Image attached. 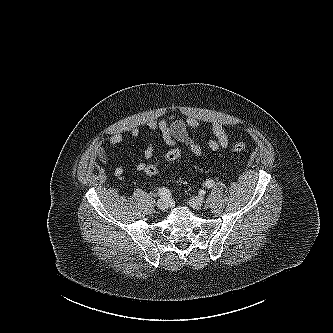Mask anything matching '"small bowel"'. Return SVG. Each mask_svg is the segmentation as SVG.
Listing matches in <instances>:
<instances>
[{
  "label": "small bowel",
  "mask_w": 333,
  "mask_h": 333,
  "mask_svg": "<svg viewBox=\"0 0 333 333\" xmlns=\"http://www.w3.org/2000/svg\"><path fill=\"white\" fill-rule=\"evenodd\" d=\"M148 129L150 135L152 136L155 134H160L165 145L170 149L174 148L177 144H183L190 149L195 157L201 158L203 156V149L201 145L189 134V129L195 131L202 130L200 123L194 117H186L184 119H175L172 121L167 119L150 121L148 123ZM212 133L214 137L208 138L206 141V144L211 151L217 152L221 149L227 148L230 145V138L221 123H213ZM130 134L133 138H136L139 135V130L137 128H133ZM122 141L123 134L121 132L114 133L109 139L110 145L112 146H117L121 144ZM154 151L155 148L153 143L149 142L143 150L144 158H152ZM97 156L103 163L108 161L106 150L103 147H99L97 149ZM145 166L146 163L139 162L136 168L138 171L144 172ZM123 172V168L119 165L114 168V175L116 177H121Z\"/></svg>",
  "instance_id": "small-bowel-1"
}]
</instances>
